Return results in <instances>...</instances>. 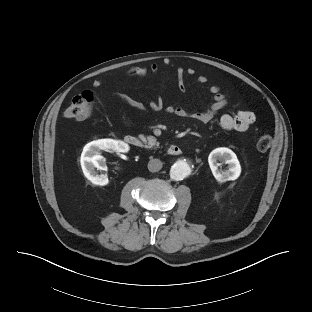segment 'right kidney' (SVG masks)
<instances>
[{
  "label": "right kidney",
  "mask_w": 312,
  "mask_h": 312,
  "mask_svg": "<svg viewBox=\"0 0 312 312\" xmlns=\"http://www.w3.org/2000/svg\"><path fill=\"white\" fill-rule=\"evenodd\" d=\"M101 150L110 152H128L129 146L123 141L100 139L85 145L81 154V167L85 177L93 184L104 186L109 183L106 174H98L97 170H107L105 158L99 154Z\"/></svg>",
  "instance_id": "1"
}]
</instances>
